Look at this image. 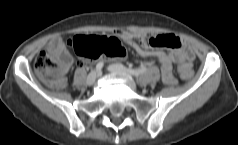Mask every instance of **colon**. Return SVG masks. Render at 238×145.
I'll use <instances>...</instances> for the list:
<instances>
[{
	"instance_id": "colon-1",
	"label": "colon",
	"mask_w": 238,
	"mask_h": 145,
	"mask_svg": "<svg viewBox=\"0 0 238 145\" xmlns=\"http://www.w3.org/2000/svg\"><path fill=\"white\" fill-rule=\"evenodd\" d=\"M69 45L75 53L86 61L97 60L101 57L121 59L126 55V50L119 39L109 36L78 35ZM35 71L48 83L61 87L64 85L62 66L54 56L49 45L34 59ZM180 76L184 79L192 76V67L184 64L178 67Z\"/></svg>"
}]
</instances>
